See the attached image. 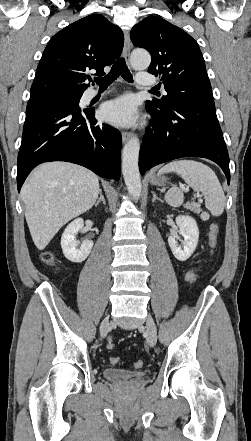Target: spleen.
I'll return each mask as SVG.
<instances>
[{
    "label": "spleen",
    "mask_w": 251,
    "mask_h": 441,
    "mask_svg": "<svg viewBox=\"0 0 251 441\" xmlns=\"http://www.w3.org/2000/svg\"><path fill=\"white\" fill-rule=\"evenodd\" d=\"M167 172L177 173L195 192L201 193L205 198V207L213 216L223 213L225 195L215 172L209 166L195 160L181 159L167 163L158 174ZM165 201L172 207H179L184 202V194L174 186L166 193Z\"/></svg>",
    "instance_id": "obj_1"
}]
</instances>
